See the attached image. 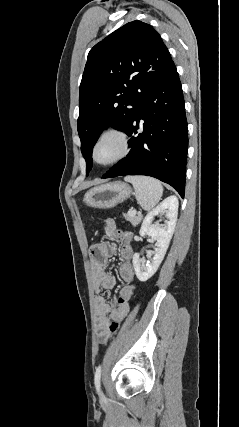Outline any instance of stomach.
Masks as SVG:
<instances>
[{
    "instance_id": "0dacf381",
    "label": "stomach",
    "mask_w": 239,
    "mask_h": 427,
    "mask_svg": "<svg viewBox=\"0 0 239 427\" xmlns=\"http://www.w3.org/2000/svg\"><path fill=\"white\" fill-rule=\"evenodd\" d=\"M132 189L123 182H112L91 188L84 196L87 206L109 209L130 197Z\"/></svg>"
}]
</instances>
